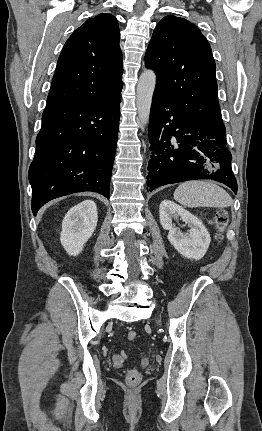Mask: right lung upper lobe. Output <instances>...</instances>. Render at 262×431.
Masks as SVG:
<instances>
[{
    "instance_id": "cb5924a9",
    "label": "right lung upper lobe",
    "mask_w": 262,
    "mask_h": 431,
    "mask_svg": "<svg viewBox=\"0 0 262 431\" xmlns=\"http://www.w3.org/2000/svg\"><path fill=\"white\" fill-rule=\"evenodd\" d=\"M116 18L88 19L66 41L59 56L47 104L97 103L121 92L122 52Z\"/></svg>"
}]
</instances>
